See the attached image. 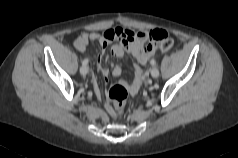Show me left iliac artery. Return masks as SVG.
<instances>
[{"label":"left iliac artery","mask_w":238,"mask_h":158,"mask_svg":"<svg viewBox=\"0 0 238 158\" xmlns=\"http://www.w3.org/2000/svg\"><path fill=\"white\" fill-rule=\"evenodd\" d=\"M151 65L155 66L156 65V61L154 59L151 60Z\"/></svg>","instance_id":"1"}]
</instances>
